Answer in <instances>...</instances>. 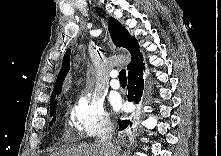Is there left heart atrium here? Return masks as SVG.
<instances>
[{
  "label": "left heart atrium",
  "mask_w": 221,
  "mask_h": 156,
  "mask_svg": "<svg viewBox=\"0 0 221 156\" xmlns=\"http://www.w3.org/2000/svg\"><path fill=\"white\" fill-rule=\"evenodd\" d=\"M114 106H115V108H116L117 110H119V109L122 108V104H121L120 101L115 102Z\"/></svg>",
  "instance_id": "39dd6f15"
}]
</instances>
